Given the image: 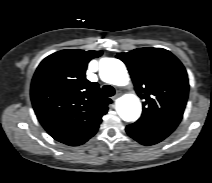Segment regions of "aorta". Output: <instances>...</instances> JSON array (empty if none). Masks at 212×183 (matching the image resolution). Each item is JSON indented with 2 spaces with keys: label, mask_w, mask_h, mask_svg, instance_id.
Listing matches in <instances>:
<instances>
[{
  "label": "aorta",
  "mask_w": 212,
  "mask_h": 183,
  "mask_svg": "<svg viewBox=\"0 0 212 183\" xmlns=\"http://www.w3.org/2000/svg\"><path fill=\"white\" fill-rule=\"evenodd\" d=\"M100 78L109 84L124 86L129 81V75L124 63L115 58H103L100 61ZM119 116L127 122L136 121L141 114V103L136 95L121 97L116 105Z\"/></svg>",
  "instance_id": "762f6f07"
}]
</instances>
